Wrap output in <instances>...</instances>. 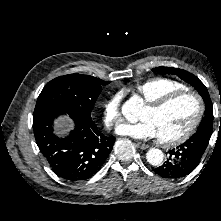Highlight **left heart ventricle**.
<instances>
[{"mask_svg": "<svg viewBox=\"0 0 221 221\" xmlns=\"http://www.w3.org/2000/svg\"><path fill=\"white\" fill-rule=\"evenodd\" d=\"M197 104L193 97L183 96L159 111L145 107L140 120H149L155 127L159 139H171L183 133L193 121Z\"/></svg>", "mask_w": 221, "mask_h": 221, "instance_id": "b2bd125f", "label": "left heart ventricle"}]
</instances>
